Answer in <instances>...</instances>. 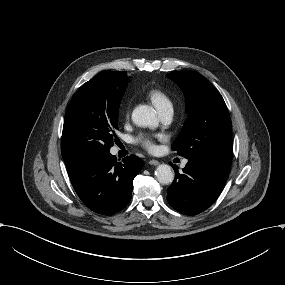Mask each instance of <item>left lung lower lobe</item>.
I'll use <instances>...</instances> for the list:
<instances>
[{
	"instance_id": "left-lung-lower-lobe-1",
	"label": "left lung lower lobe",
	"mask_w": 285,
	"mask_h": 285,
	"mask_svg": "<svg viewBox=\"0 0 285 285\" xmlns=\"http://www.w3.org/2000/svg\"><path fill=\"white\" fill-rule=\"evenodd\" d=\"M229 168V164L217 160L188 159L183 174L175 169V179L167 190L168 203L186 215L203 212L220 195Z\"/></svg>"
}]
</instances>
